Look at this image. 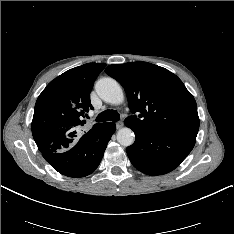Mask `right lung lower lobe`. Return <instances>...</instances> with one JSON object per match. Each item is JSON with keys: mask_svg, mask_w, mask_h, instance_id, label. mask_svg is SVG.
Segmentation results:
<instances>
[{"mask_svg": "<svg viewBox=\"0 0 234 234\" xmlns=\"http://www.w3.org/2000/svg\"><path fill=\"white\" fill-rule=\"evenodd\" d=\"M115 130L114 123H101L85 133L68 150L57 153H42V155L56 171L65 176H87L98 167L107 143Z\"/></svg>", "mask_w": 234, "mask_h": 234, "instance_id": "98d812e1", "label": "right lung lower lobe"}]
</instances>
